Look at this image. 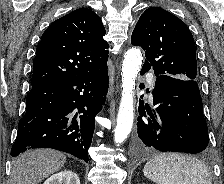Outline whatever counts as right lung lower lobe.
<instances>
[{
    "label": "right lung lower lobe",
    "instance_id": "obj_1",
    "mask_svg": "<svg viewBox=\"0 0 224 184\" xmlns=\"http://www.w3.org/2000/svg\"><path fill=\"white\" fill-rule=\"evenodd\" d=\"M108 82L106 65L88 75L32 87L11 156L53 148L88 162L95 116L105 102Z\"/></svg>",
    "mask_w": 224,
    "mask_h": 184
}]
</instances>
